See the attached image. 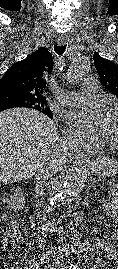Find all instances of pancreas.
Wrapping results in <instances>:
<instances>
[{
	"label": "pancreas",
	"instance_id": "pancreas-1",
	"mask_svg": "<svg viewBox=\"0 0 118 269\" xmlns=\"http://www.w3.org/2000/svg\"><path fill=\"white\" fill-rule=\"evenodd\" d=\"M113 181H114V178L113 177H99L96 180V183L97 184H105L103 186V189L104 190H109L110 189V186L109 185H112L113 184Z\"/></svg>",
	"mask_w": 118,
	"mask_h": 269
}]
</instances>
